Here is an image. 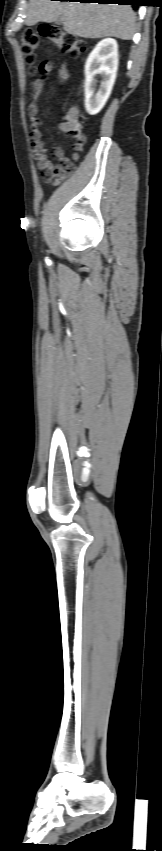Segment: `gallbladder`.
Masks as SVG:
<instances>
[{
	"instance_id": "obj_1",
	"label": "gallbladder",
	"mask_w": 162,
	"mask_h": 851,
	"mask_svg": "<svg viewBox=\"0 0 162 851\" xmlns=\"http://www.w3.org/2000/svg\"><path fill=\"white\" fill-rule=\"evenodd\" d=\"M56 23H61V20L60 19L56 20Z\"/></svg>"
}]
</instances>
